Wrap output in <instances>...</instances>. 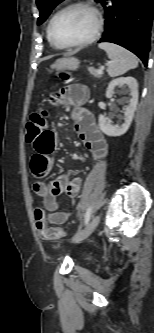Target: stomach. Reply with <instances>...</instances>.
<instances>
[{"instance_id":"0dacf381","label":"stomach","mask_w":154,"mask_h":333,"mask_svg":"<svg viewBox=\"0 0 154 333\" xmlns=\"http://www.w3.org/2000/svg\"><path fill=\"white\" fill-rule=\"evenodd\" d=\"M80 61L75 57H66L56 60V62L51 66L53 69L57 70H77L79 68Z\"/></svg>"}]
</instances>
